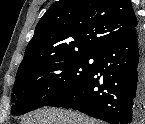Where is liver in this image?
I'll list each match as a JSON object with an SVG mask.
<instances>
[{
  "instance_id": "1",
  "label": "liver",
  "mask_w": 145,
  "mask_h": 124,
  "mask_svg": "<svg viewBox=\"0 0 145 124\" xmlns=\"http://www.w3.org/2000/svg\"><path fill=\"white\" fill-rule=\"evenodd\" d=\"M21 124H98L80 113L63 109H43L30 114Z\"/></svg>"
}]
</instances>
